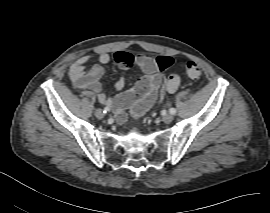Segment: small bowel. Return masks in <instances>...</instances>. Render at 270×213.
<instances>
[{
	"label": "small bowel",
	"mask_w": 270,
	"mask_h": 213,
	"mask_svg": "<svg viewBox=\"0 0 270 213\" xmlns=\"http://www.w3.org/2000/svg\"><path fill=\"white\" fill-rule=\"evenodd\" d=\"M89 58V55H82L71 64L69 68V77L71 81L78 88L93 91L97 95L100 103L114 108L116 115L122 121L120 112L130 103L125 100V95L123 94L112 97L102 91V84L100 80L104 74V68L101 65H94L87 69L86 64L89 61ZM111 59V55L107 52L99 53L98 60L100 64L106 65L111 61ZM113 59L122 69H125L130 64L125 59H119L115 55ZM163 59H167L168 64L165 65L162 61ZM132 63L142 68L145 73V75L139 79L138 83L133 89L137 90L140 94L138 103H133V114L135 116H140L156 101L158 90L163 82V75L161 72L170 68L173 64V60L167 56H162L158 59L139 56ZM124 86L125 79L121 78L117 81L115 88L116 90L120 91L124 88Z\"/></svg>",
	"instance_id": "obj_1"
}]
</instances>
